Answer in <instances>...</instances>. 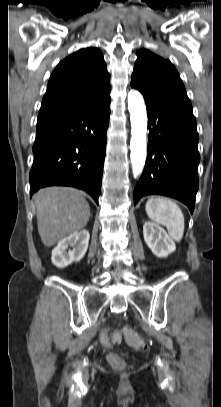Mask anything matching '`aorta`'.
Wrapping results in <instances>:
<instances>
[{
  "label": "aorta",
  "instance_id": "1",
  "mask_svg": "<svg viewBox=\"0 0 221 407\" xmlns=\"http://www.w3.org/2000/svg\"><path fill=\"white\" fill-rule=\"evenodd\" d=\"M128 109L131 120V164L133 176L142 173L146 160L147 115L144 99L137 90L128 93Z\"/></svg>",
  "mask_w": 221,
  "mask_h": 407
}]
</instances>
